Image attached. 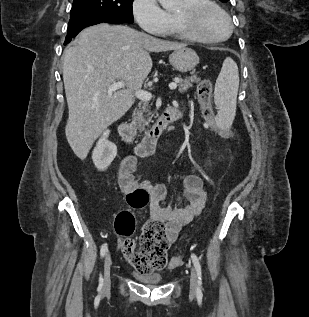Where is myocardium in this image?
I'll use <instances>...</instances> for the list:
<instances>
[{"label": "myocardium", "instance_id": "f54148a6", "mask_svg": "<svg viewBox=\"0 0 309 317\" xmlns=\"http://www.w3.org/2000/svg\"><path fill=\"white\" fill-rule=\"evenodd\" d=\"M220 14L227 24V33L222 37H214L199 32L195 22L206 12ZM175 20L180 31L192 40L203 43H219L227 40L233 32V23L229 14L218 4L210 0H198L195 3L183 4L175 13Z\"/></svg>", "mask_w": 309, "mask_h": 317}]
</instances>
